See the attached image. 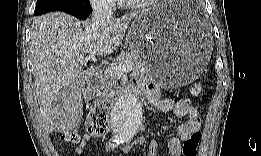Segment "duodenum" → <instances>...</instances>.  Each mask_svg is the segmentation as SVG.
Wrapping results in <instances>:
<instances>
[{
	"instance_id": "obj_1",
	"label": "duodenum",
	"mask_w": 261,
	"mask_h": 156,
	"mask_svg": "<svg viewBox=\"0 0 261 156\" xmlns=\"http://www.w3.org/2000/svg\"><path fill=\"white\" fill-rule=\"evenodd\" d=\"M90 70H91L92 74H96L97 73V71L95 69H93V68L90 69ZM126 91H127V94L129 96H132V97L137 96V94H139L138 92H136L135 88L132 87V86H129ZM115 99H116L115 96L106 97L104 99V101L102 102V104L104 106L109 107V105H112L115 102Z\"/></svg>"
}]
</instances>
